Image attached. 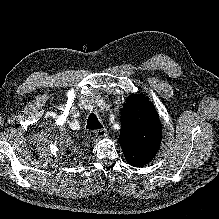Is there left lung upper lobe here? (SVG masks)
<instances>
[{"label":"left lung upper lobe","mask_w":219,"mask_h":219,"mask_svg":"<svg viewBox=\"0 0 219 219\" xmlns=\"http://www.w3.org/2000/svg\"><path fill=\"white\" fill-rule=\"evenodd\" d=\"M119 143L129 164L141 167L157 153L162 128L153 105L144 96L133 94L121 112Z\"/></svg>","instance_id":"obj_1"}]
</instances>
